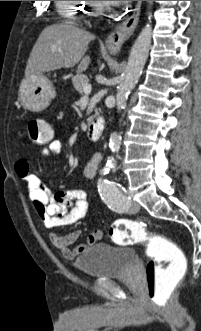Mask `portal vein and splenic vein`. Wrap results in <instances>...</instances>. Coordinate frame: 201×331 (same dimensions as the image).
Returning a JSON list of instances; mask_svg holds the SVG:
<instances>
[{
	"label": "portal vein and splenic vein",
	"mask_w": 201,
	"mask_h": 331,
	"mask_svg": "<svg viewBox=\"0 0 201 331\" xmlns=\"http://www.w3.org/2000/svg\"><path fill=\"white\" fill-rule=\"evenodd\" d=\"M92 86L90 84H86L83 87V92L85 94V97H88V95L91 93Z\"/></svg>",
	"instance_id": "portal-vein-and-splenic-vein-1"
}]
</instances>
